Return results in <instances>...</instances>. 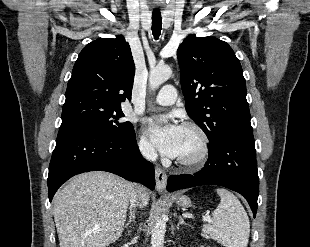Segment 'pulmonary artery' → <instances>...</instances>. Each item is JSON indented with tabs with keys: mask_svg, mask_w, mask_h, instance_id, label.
<instances>
[{
	"mask_svg": "<svg viewBox=\"0 0 310 247\" xmlns=\"http://www.w3.org/2000/svg\"><path fill=\"white\" fill-rule=\"evenodd\" d=\"M176 99L177 93L175 87L166 85L160 90L154 102L159 105L168 106L174 104Z\"/></svg>",
	"mask_w": 310,
	"mask_h": 247,
	"instance_id": "1",
	"label": "pulmonary artery"
}]
</instances>
